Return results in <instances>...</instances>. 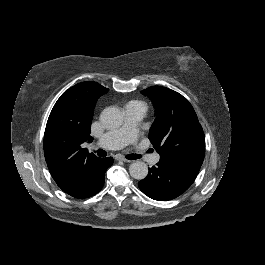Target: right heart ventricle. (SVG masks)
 <instances>
[{
  "label": "right heart ventricle",
  "mask_w": 265,
  "mask_h": 265,
  "mask_svg": "<svg viewBox=\"0 0 265 265\" xmlns=\"http://www.w3.org/2000/svg\"><path fill=\"white\" fill-rule=\"evenodd\" d=\"M125 107H136V108H142L144 110L146 108L144 102L137 100V99H133V100L128 101L126 103Z\"/></svg>",
  "instance_id": "right-heart-ventricle-1"
}]
</instances>
